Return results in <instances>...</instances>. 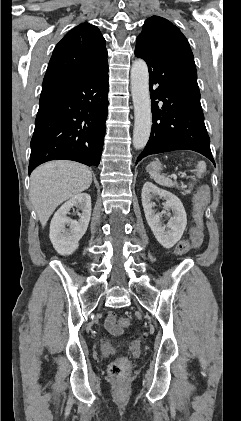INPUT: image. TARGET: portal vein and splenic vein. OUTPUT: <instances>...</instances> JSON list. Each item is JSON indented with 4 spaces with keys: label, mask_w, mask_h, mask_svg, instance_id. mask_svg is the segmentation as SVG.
Segmentation results:
<instances>
[{
    "label": "portal vein and splenic vein",
    "mask_w": 241,
    "mask_h": 421,
    "mask_svg": "<svg viewBox=\"0 0 241 421\" xmlns=\"http://www.w3.org/2000/svg\"><path fill=\"white\" fill-rule=\"evenodd\" d=\"M171 178H173L174 180H177V175L176 174H172Z\"/></svg>",
    "instance_id": "1"
}]
</instances>
